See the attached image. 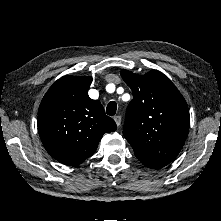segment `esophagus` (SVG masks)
I'll use <instances>...</instances> for the list:
<instances>
[{
	"mask_svg": "<svg viewBox=\"0 0 221 221\" xmlns=\"http://www.w3.org/2000/svg\"><path fill=\"white\" fill-rule=\"evenodd\" d=\"M114 120L116 122V125L119 127L121 125V121H122L121 116L120 115L115 116Z\"/></svg>",
	"mask_w": 221,
	"mask_h": 221,
	"instance_id": "esophagus-1",
	"label": "esophagus"
}]
</instances>
